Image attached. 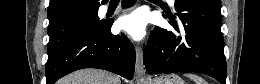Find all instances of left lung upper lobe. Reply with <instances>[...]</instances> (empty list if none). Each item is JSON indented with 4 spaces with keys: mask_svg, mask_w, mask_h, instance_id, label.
Returning <instances> with one entry per match:
<instances>
[{
    "mask_svg": "<svg viewBox=\"0 0 260 84\" xmlns=\"http://www.w3.org/2000/svg\"><path fill=\"white\" fill-rule=\"evenodd\" d=\"M207 1L221 5V1L220 0H207Z\"/></svg>",
    "mask_w": 260,
    "mask_h": 84,
    "instance_id": "5c2ea615",
    "label": "left lung upper lobe"
}]
</instances>
